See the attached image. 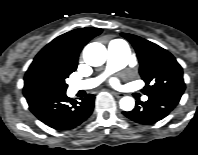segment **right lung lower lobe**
<instances>
[{"instance_id":"obj_1","label":"right lung lower lobe","mask_w":198,"mask_h":155,"mask_svg":"<svg viewBox=\"0 0 198 155\" xmlns=\"http://www.w3.org/2000/svg\"><path fill=\"white\" fill-rule=\"evenodd\" d=\"M31 112L56 130H70L84 122L92 113L95 96L88 94L80 102L65 93H44L26 98Z\"/></svg>"}]
</instances>
